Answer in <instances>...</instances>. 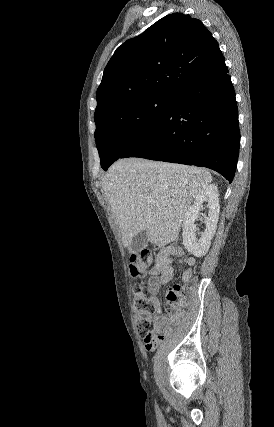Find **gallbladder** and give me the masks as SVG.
<instances>
[{"label": "gallbladder", "mask_w": 274, "mask_h": 427, "mask_svg": "<svg viewBox=\"0 0 274 427\" xmlns=\"http://www.w3.org/2000/svg\"><path fill=\"white\" fill-rule=\"evenodd\" d=\"M147 233L145 229H142V231H139L137 235H135L132 243L128 245L129 253H139L141 249H144L147 245Z\"/></svg>", "instance_id": "bac80fb5"}]
</instances>
